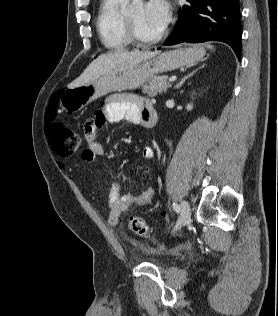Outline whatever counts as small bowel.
<instances>
[{"instance_id":"small-bowel-1","label":"small bowel","mask_w":278,"mask_h":316,"mask_svg":"<svg viewBox=\"0 0 278 316\" xmlns=\"http://www.w3.org/2000/svg\"><path fill=\"white\" fill-rule=\"evenodd\" d=\"M151 102L143 97L134 94H114L106 98L105 104L98 109L93 118L86 122L84 126L87 147L82 151V159L90 164H95L99 158L105 154L103 146L96 141L98 130L103 122H119L127 120L133 124L143 123V115L147 108L151 107ZM154 151L151 147H145L141 152L143 161L151 160ZM126 178H120L110 189L108 194V205L110 213L108 223L115 227L119 223L120 215L133 205H145L150 202L154 190L148 187L141 193L134 194L123 192ZM166 217L165 213H162Z\"/></svg>"}]
</instances>
